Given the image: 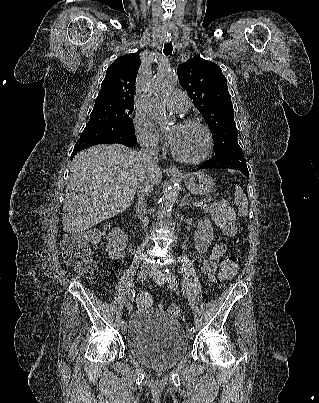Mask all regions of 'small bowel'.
Listing matches in <instances>:
<instances>
[{
	"label": "small bowel",
	"mask_w": 319,
	"mask_h": 403,
	"mask_svg": "<svg viewBox=\"0 0 319 403\" xmlns=\"http://www.w3.org/2000/svg\"><path fill=\"white\" fill-rule=\"evenodd\" d=\"M226 250L227 247L224 243L216 244L201 264L202 273L207 276L208 281L211 283H215L218 278L223 279L221 272L219 276H217L216 271L221 258L226 253Z\"/></svg>",
	"instance_id": "small-bowel-1"
}]
</instances>
